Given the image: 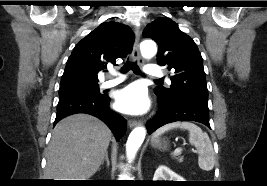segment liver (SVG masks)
Returning <instances> with one entry per match:
<instances>
[{"instance_id":"6515ba94","label":"liver","mask_w":267,"mask_h":186,"mask_svg":"<svg viewBox=\"0 0 267 186\" xmlns=\"http://www.w3.org/2000/svg\"><path fill=\"white\" fill-rule=\"evenodd\" d=\"M111 135L103 122L87 114L61 120L52 131L44 177L87 180L104 159Z\"/></svg>"}]
</instances>
